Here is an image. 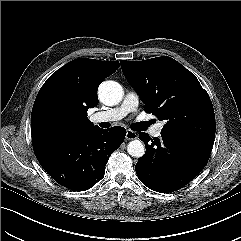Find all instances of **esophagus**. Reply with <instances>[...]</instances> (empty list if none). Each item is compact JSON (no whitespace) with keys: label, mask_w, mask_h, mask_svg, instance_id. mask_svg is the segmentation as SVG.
<instances>
[{"label":"esophagus","mask_w":241,"mask_h":241,"mask_svg":"<svg viewBox=\"0 0 241 241\" xmlns=\"http://www.w3.org/2000/svg\"><path fill=\"white\" fill-rule=\"evenodd\" d=\"M138 138V134L132 130H127L126 132V139L127 140H134Z\"/></svg>","instance_id":"obj_1"}]
</instances>
